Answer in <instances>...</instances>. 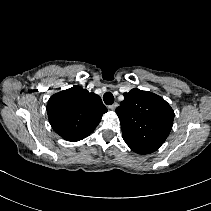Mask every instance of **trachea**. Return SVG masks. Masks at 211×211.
Masks as SVG:
<instances>
[{
    "label": "trachea",
    "instance_id": "trachea-1",
    "mask_svg": "<svg viewBox=\"0 0 211 211\" xmlns=\"http://www.w3.org/2000/svg\"><path fill=\"white\" fill-rule=\"evenodd\" d=\"M103 100L106 105H112L114 103V96L111 92H106L103 95Z\"/></svg>",
    "mask_w": 211,
    "mask_h": 211
}]
</instances>
